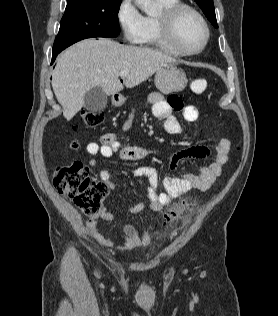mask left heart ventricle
Listing matches in <instances>:
<instances>
[{"label":"left heart ventricle","mask_w":278,"mask_h":316,"mask_svg":"<svg viewBox=\"0 0 278 316\" xmlns=\"http://www.w3.org/2000/svg\"><path fill=\"white\" fill-rule=\"evenodd\" d=\"M178 35L183 43L189 49L199 48L205 38V30L201 22L190 12H184L178 20Z\"/></svg>","instance_id":"1"}]
</instances>
